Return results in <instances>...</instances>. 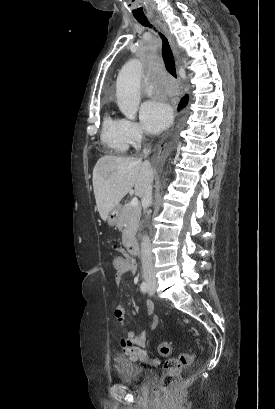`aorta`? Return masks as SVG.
I'll list each match as a JSON object with an SVG mask.
<instances>
[{
  "mask_svg": "<svg viewBox=\"0 0 275 409\" xmlns=\"http://www.w3.org/2000/svg\"><path fill=\"white\" fill-rule=\"evenodd\" d=\"M141 80V64L137 58H132L122 66L116 80V96L119 110L127 118H136L139 108Z\"/></svg>",
  "mask_w": 275,
  "mask_h": 409,
  "instance_id": "obj_1",
  "label": "aorta"
}]
</instances>
